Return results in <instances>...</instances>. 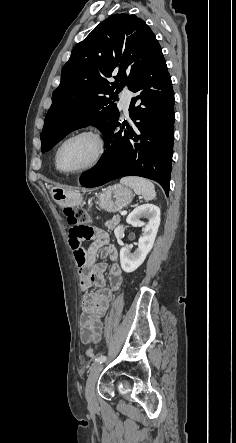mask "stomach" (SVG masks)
Returning a JSON list of instances; mask_svg holds the SVG:
<instances>
[{
  "label": "stomach",
  "instance_id": "stomach-1",
  "mask_svg": "<svg viewBox=\"0 0 236 443\" xmlns=\"http://www.w3.org/2000/svg\"><path fill=\"white\" fill-rule=\"evenodd\" d=\"M51 196L60 206H75L82 201L78 192L63 187L52 188ZM132 200L133 193L127 186L114 184L105 188L100 194L99 207L109 213H115L128 206Z\"/></svg>",
  "mask_w": 236,
  "mask_h": 443
}]
</instances>
